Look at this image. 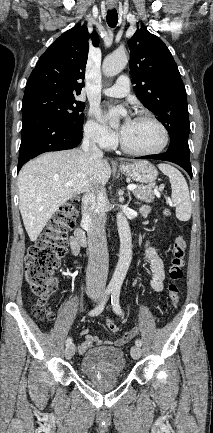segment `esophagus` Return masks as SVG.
Returning <instances> with one entry per match:
<instances>
[{
	"mask_svg": "<svg viewBox=\"0 0 213 433\" xmlns=\"http://www.w3.org/2000/svg\"><path fill=\"white\" fill-rule=\"evenodd\" d=\"M109 7H110V8H113V5H110Z\"/></svg>",
	"mask_w": 213,
	"mask_h": 433,
	"instance_id": "1",
	"label": "esophagus"
}]
</instances>
